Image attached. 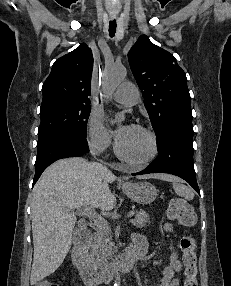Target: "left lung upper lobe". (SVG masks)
<instances>
[{"label":"left lung upper lobe","mask_w":231,"mask_h":286,"mask_svg":"<svg viewBox=\"0 0 231 286\" xmlns=\"http://www.w3.org/2000/svg\"><path fill=\"white\" fill-rule=\"evenodd\" d=\"M128 58L155 133L170 121H192L187 78L172 54L142 35Z\"/></svg>","instance_id":"left-lung-upper-lobe-1"}]
</instances>
